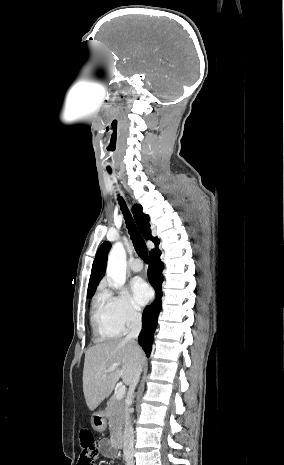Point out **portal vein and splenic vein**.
<instances>
[{
	"label": "portal vein and splenic vein",
	"instance_id": "obj_1",
	"mask_svg": "<svg viewBox=\"0 0 284 465\" xmlns=\"http://www.w3.org/2000/svg\"><path fill=\"white\" fill-rule=\"evenodd\" d=\"M115 369H117V367H109V369H107V371H105V375H103V377H106V375H108V373H112V371H115ZM125 393H126V387H125V385H121V387H119L118 391H116V393H115V399H117V401H121V399H123Z\"/></svg>",
	"mask_w": 284,
	"mask_h": 465
}]
</instances>
